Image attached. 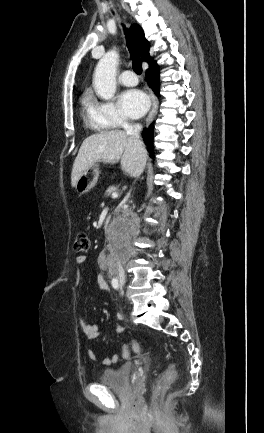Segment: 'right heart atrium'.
I'll return each instance as SVG.
<instances>
[{
	"mask_svg": "<svg viewBox=\"0 0 264 433\" xmlns=\"http://www.w3.org/2000/svg\"><path fill=\"white\" fill-rule=\"evenodd\" d=\"M93 110L96 116L105 125L119 127L128 123L125 115L119 110L116 104L110 100L92 101Z\"/></svg>",
	"mask_w": 264,
	"mask_h": 433,
	"instance_id": "1",
	"label": "right heart atrium"
}]
</instances>
